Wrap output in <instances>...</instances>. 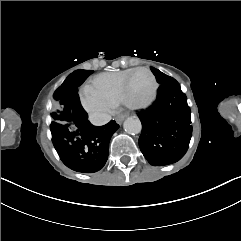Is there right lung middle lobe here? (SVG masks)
<instances>
[{
  "label": "right lung middle lobe",
  "instance_id": "obj_1",
  "mask_svg": "<svg viewBox=\"0 0 241 241\" xmlns=\"http://www.w3.org/2000/svg\"><path fill=\"white\" fill-rule=\"evenodd\" d=\"M92 70H77L72 73L70 78H67L64 83L56 90L51 103V127H60V125H68L73 122L68 104L65 100V91L67 81L76 80L78 85L82 84L85 79L92 73Z\"/></svg>",
  "mask_w": 241,
  "mask_h": 241
}]
</instances>
